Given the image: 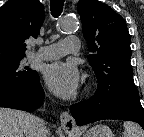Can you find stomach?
<instances>
[{"label": "stomach", "instance_id": "0dacf381", "mask_svg": "<svg viewBox=\"0 0 144 137\" xmlns=\"http://www.w3.org/2000/svg\"><path fill=\"white\" fill-rule=\"evenodd\" d=\"M83 137H113V133L109 127L98 124L90 128Z\"/></svg>", "mask_w": 144, "mask_h": 137}]
</instances>
